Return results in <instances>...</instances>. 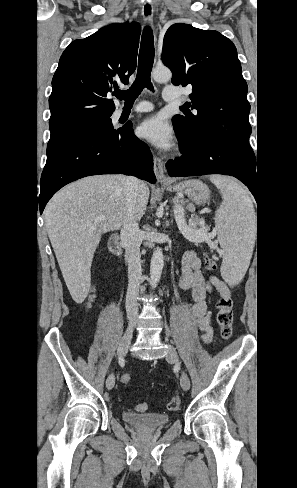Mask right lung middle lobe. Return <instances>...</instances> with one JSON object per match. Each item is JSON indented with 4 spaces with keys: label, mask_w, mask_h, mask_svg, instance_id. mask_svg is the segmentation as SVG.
<instances>
[{
    "label": "right lung middle lobe",
    "mask_w": 297,
    "mask_h": 488,
    "mask_svg": "<svg viewBox=\"0 0 297 488\" xmlns=\"http://www.w3.org/2000/svg\"><path fill=\"white\" fill-rule=\"evenodd\" d=\"M113 130L111 119L107 117L82 122L61 131L51 133L50 140L47 145V155L54 152L63 143L76 137L87 134L108 133Z\"/></svg>",
    "instance_id": "obj_1"
}]
</instances>
